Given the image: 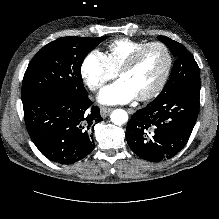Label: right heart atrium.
<instances>
[{"instance_id": "1", "label": "right heart atrium", "mask_w": 219, "mask_h": 219, "mask_svg": "<svg viewBox=\"0 0 219 219\" xmlns=\"http://www.w3.org/2000/svg\"><path fill=\"white\" fill-rule=\"evenodd\" d=\"M81 75L92 91H99L116 72L110 66L106 54L98 49L90 51L81 65Z\"/></svg>"}]
</instances>
